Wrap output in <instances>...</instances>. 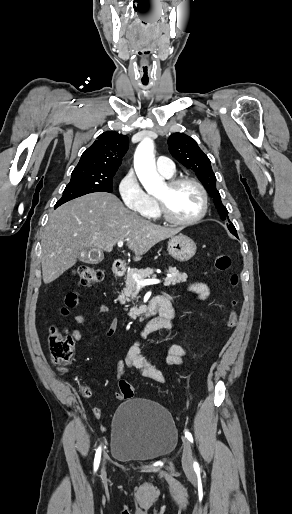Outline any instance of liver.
Instances as JSON below:
<instances>
[{
    "mask_svg": "<svg viewBox=\"0 0 292 514\" xmlns=\"http://www.w3.org/2000/svg\"><path fill=\"white\" fill-rule=\"evenodd\" d=\"M178 232L181 228H164L143 220L113 194H86L49 214L41 242L43 282L50 284L72 268L84 248L112 252L117 242L126 240L135 254L134 262H139L152 246Z\"/></svg>",
    "mask_w": 292,
    "mask_h": 514,
    "instance_id": "1",
    "label": "liver"
}]
</instances>
